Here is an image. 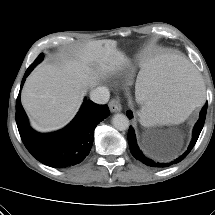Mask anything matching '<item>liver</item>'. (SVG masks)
Returning a JSON list of instances; mask_svg holds the SVG:
<instances>
[{
    "instance_id": "6515ba94",
    "label": "liver",
    "mask_w": 215,
    "mask_h": 215,
    "mask_svg": "<svg viewBox=\"0 0 215 215\" xmlns=\"http://www.w3.org/2000/svg\"><path fill=\"white\" fill-rule=\"evenodd\" d=\"M126 63L113 40L91 41L58 63H42L27 78L21 102L31 125L41 132L62 128L79 110L85 91L99 74L114 73Z\"/></svg>"
}]
</instances>
